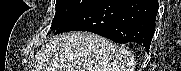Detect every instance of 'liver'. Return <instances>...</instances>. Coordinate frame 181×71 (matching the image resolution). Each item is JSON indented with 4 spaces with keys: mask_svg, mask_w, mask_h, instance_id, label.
I'll return each mask as SVG.
<instances>
[{
    "mask_svg": "<svg viewBox=\"0 0 181 71\" xmlns=\"http://www.w3.org/2000/svg\"><path fill=\"white\" fill-rule=\"evenodd\" d=\"M33 71H134L127 49L88 32L61 34L37 53Z\"/></svg>",
    "mask_w": 181,
    "mask_h": 71,
    "instance_id": "6515ba94",
    "label": "liver"
}]
</instances>
